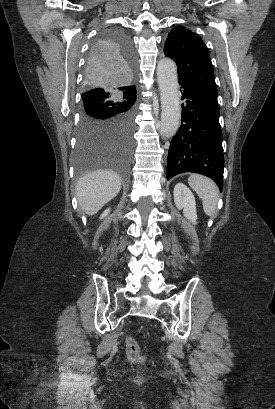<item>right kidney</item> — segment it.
<instances>
[{
    "label": "right kidney",
    "instance_id": "1",
    "mask_svg": "<svg viewBox=\"0 0 275 409\" xmlns=\"http://www.w3.org/2000/svg\"><path fill=\"white\" fill-rule=\"evenodd\" d=\"M108 213H110V209H106V211H104V213H102L100 219H104V217H107Z\"/></svg>",
    "mask_w": 275,
    "mask_h": 409
}]
</instances>
